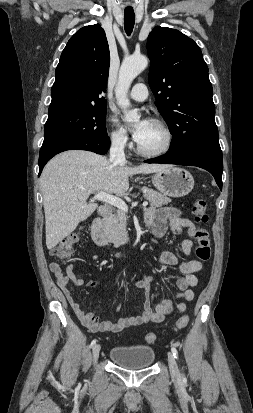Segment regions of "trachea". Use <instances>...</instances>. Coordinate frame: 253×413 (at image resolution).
Instances as JSON below:
<instances>
[{
	"mask_svg": "<svg viewBox=\"0 0 253 413\" xmlns=\"http://www.w3.org/2000/svg\"><path fill=\"white\" fill-rule=\"evenodd\" d=\"M135 24V13L133 10H125L124 12V28L127 35H130L133 31Z\"/></svg>",
	"mask_w": 253,
	"mask_h": 413,
	"instance_id": "trachea-1",
	"label": "trachea"
}]
</instances>
